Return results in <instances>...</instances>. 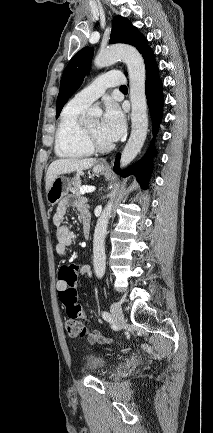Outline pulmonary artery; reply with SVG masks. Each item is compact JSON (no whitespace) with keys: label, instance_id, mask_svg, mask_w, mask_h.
<instances>
[{"label":"pulmonary artery","instance_id":"1","mask_svg":"<svg viewBox=\"0 0 213 433\" xmlns=\"http://www.w3.org/2000/svg\"><path fill=\"white\" fill-rule=\"evenodd\" d=\"M125 78L119 71H110L97 77L89 86L75 94L71 102L82 107H88L102 96L109 87L122 86Z\"/></svg>","mask_w":213,"mask_h":433}]
</instances>
